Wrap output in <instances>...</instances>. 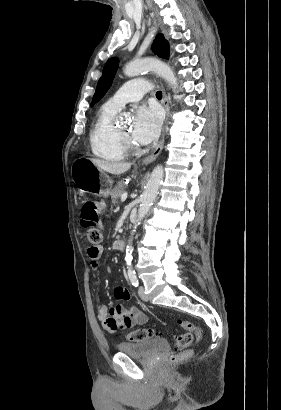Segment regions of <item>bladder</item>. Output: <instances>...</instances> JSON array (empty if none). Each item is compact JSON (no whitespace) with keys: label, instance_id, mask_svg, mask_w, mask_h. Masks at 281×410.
I'll use <instances>...</instances> for the list:
<instances>
[{"label":"bladder","instance_id":"bladder-1","mask_svg":"<svg viewBox=\"0 0 281 410\" xmlns=\"http://www.w3.org/2000/svg\"><path fill=\"white\" fill-rule=\"evenodd\" d=\"M169 343L163 339H149L135 343H119L116 349L119 353L135 358H151L169 350Z\"/></svg>","mask_w":281,"mask_h":410}]
</instances>
